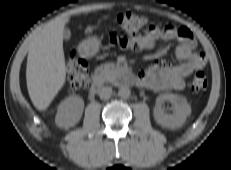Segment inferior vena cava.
I'll list each match as a JSON object with an SVG mask.
<instances>
[{"instance_id":"602c4592","label":"inferior vena cava","mask_w":231,"mask_h":170,"mask_svg":"<svg viewBox=\"0 0 231 170\" xmlns=\"http://www.w3.org/2000/svg\"><path fill=\"white\" fill-rule=\"evenodd\" d=\"M112 95L111 87H102L99 91V96L101 99H109Z\"/></svg>"}]
</instances>
